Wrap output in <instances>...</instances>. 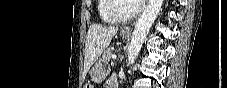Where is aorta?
Segmentation results:
<instances>
[{"label":"aorta","instance_id":"1","mask_svg":"<svg viewBox=\"0 0 227 88\" xmlns=\"http://www.w3.org/2000/svg\"><path fill=\"white\" fill-rule=\"evenodd\" d=\"M162 4L163 0H149L144 12L138 19L128 48L129 64H133L138 57L142 44L157 18Z\"/></svg>","mask_w":227,"mask_h":88}]
</instances>
